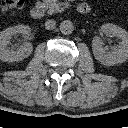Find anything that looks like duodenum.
<instances>
[{"mask_svg":"<svg viewBox=\"0 0 128 128\" xmlns=\"http://www.w3.org/2000/svg\"><path fill=\"white\" fill-rule=\"evenodd\" d=\"M77 11L80 14H87L90 11V7L87 3L81 2L77 6ZM30 14L34 19H42L45 15L44 7L41 4H36L32 7Z\"/></svg>","mask_w":128,"mask_h":128,"instance_id":"duodenum-1","label":"duodenum"}]
</instances>
